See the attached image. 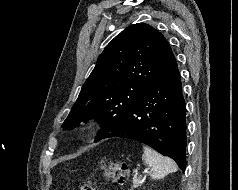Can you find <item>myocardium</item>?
Masks as SVG:
<instances>
[{
    "label": "myocardium",
    "instance_id": "f54148a6",
    "mask_svg": "<svg viewBox=\"0 0 238 190\" xmlns=\"http://www.w3.org/2000/svg\"><path fill=\"white\" fill-rule=\"evenodd\" d=\"M91 125H92L91 122H87V123H86V126H87V127H90Z\"/></svg>",
    "mask_w": 238,
    "mask_h": 190
}]
</instances>
